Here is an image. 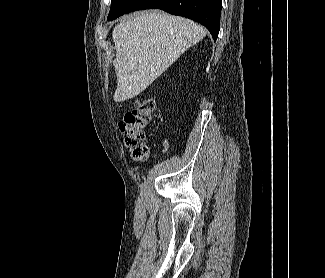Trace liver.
<instances>
[{"label": "liver", "instance_id": "1", "mask_svg": "<svg viewBox=\"0 0 325 278\" xmlns=\"http://www.w3.org/2000/svg\"><path fill=\"white\" fill-rule=\"evenodd\" d=\"M205 35V29L194 21L160 11L126 17L112 32L117 52L114 101L139 95Z\"/></svg>", "mask_w": 325, "mask_h": 278}]
</instances>
